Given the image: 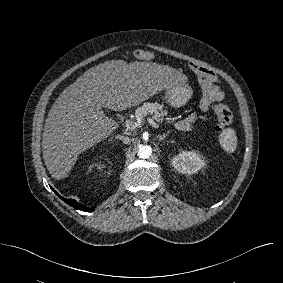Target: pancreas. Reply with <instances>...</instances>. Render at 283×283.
I'll list each match as a JSON object with an SVG mask.
<instances>
[{
	"label": "pancreas",
	"mask_w": 283,
	"mask_h": 283,
	"mask_svg": "<svg viewBox=\"0 0 283 283\" xmlns=\"http://www.w3.org/2000/svg\"><path fill=\"white\" fill-rule=\"evenodd\" d=\"M154 115V119L162 122L163 117L167 115V110H163V105L158 103H144L135 110L137 123L140 125L147 115Z\"/></svg>",
	"instance_id": "cf45deb5"
}]
</instances>
